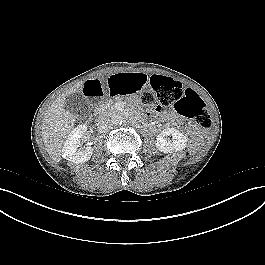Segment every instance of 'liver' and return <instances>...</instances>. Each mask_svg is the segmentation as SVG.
<instances>
[{"mask_svg": "<svg viewBox=\"0 0 265 265\" xmlns=\"http://www.w3.org/2000/svg\"><path fill=\"white\" fill-rule=\"evenodd\" d=\"M82 87L83 83H79L67 90L52 103L44 115L42 123L44 145L51 158L56 162L61 160L64 140L76 122V116L65 109L66 96L76 93Z\"/></svg>", "mask_w": 265, "mask_h": 265, "instance_id": "liver-1", "label": "liver"}]
</instances>
